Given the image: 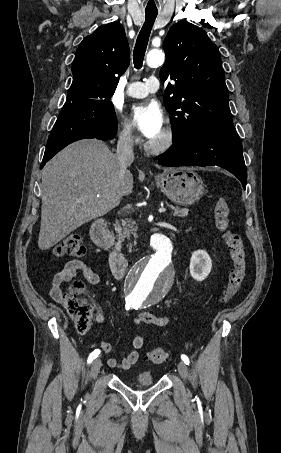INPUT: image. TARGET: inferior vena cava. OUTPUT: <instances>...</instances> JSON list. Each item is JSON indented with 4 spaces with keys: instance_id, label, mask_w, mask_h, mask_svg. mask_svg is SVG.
<instances>
[{
    "instance_id": "1",
    "label": "inferior vena cava",
    "mask_w": 281,
    "mask_h": 453,
    "mask_svg": "<svg viewBox=\"0 0 281 453\" xmlns=\"http://www.w3.org/2000/svg\"><path fill=\"white\" fill-rule=\"evenodd\" d=\"M133 138L130 130H125L121 132L119 140L117 142L116 156L119 160L120 170H119V180L122 182L123 176L127 170V166L131 164L134 160L133 152Z\"/></svg>"
}]
</instances>
